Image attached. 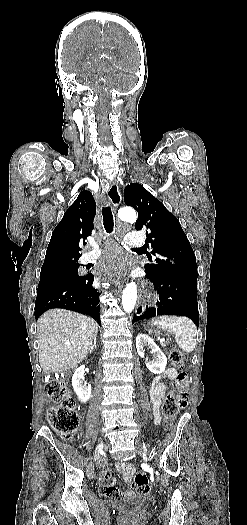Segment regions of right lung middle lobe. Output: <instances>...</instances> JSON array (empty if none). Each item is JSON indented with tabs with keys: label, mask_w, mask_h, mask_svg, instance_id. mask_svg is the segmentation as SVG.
I'll return each mask as SVG.
<instances>
[{
	"label": "right lung middle lobe",
	"mask_w": 247,
	"mask_h": 525,
	"mask_svg": "<svg viewBox=\"0 0 247 525\" xmlns=\"http://www.w3.org/2000/svg\"><path fill=\"white\" fill-rule=\"evenodd\" d=\"M79 266L78 259H76L64 261L41 270L38 289L55 281L80 278L81 276L78 275Z\"/></svg>",
	"instance_id": "right-lung-middle-lobe-1"
}]
</instances>
